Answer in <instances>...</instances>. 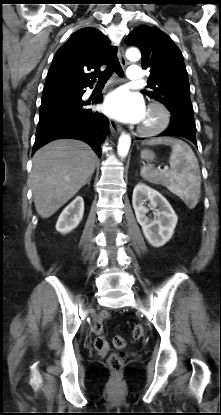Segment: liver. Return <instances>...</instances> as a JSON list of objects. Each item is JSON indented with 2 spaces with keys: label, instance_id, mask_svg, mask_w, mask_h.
Returning a JSON list of instances; mask_svg holds the SVG:
<instances>
[{
  "label": "liver",
  "instance_id": "liver-1",
  "mask_svg": "<svg viewBox=\"0 0 221 415\" xmlns=\"http://www.w3.org/2000/svg\"><path fill=\"white\" fill-rule=\"evenodd\" d=\"M97 156L86 143L59 139L33 156L31 181L34 204L42 218H49L70 200L92 176Z\"/></svg>",
  "mask_w": 221,
  "mask_h": 415
}]
</instances>
